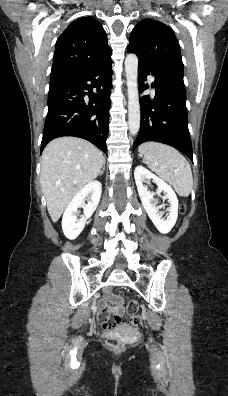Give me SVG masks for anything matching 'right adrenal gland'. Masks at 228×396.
I'll use <instances>...</instances> for the list:
<instances>
[{"instance_id":"right-adrenal-gland-1","label":"right adrenal gland","mask_w":228,"mask_h":396,"mask_svg":"<svg viewBox=\"0 0 228 396\" xmlns=\"http://www.w3.org/2000/svg\"><path fill=\"white\" fill-rule=\"evenodd\" d=\"M104 170H105V164L103 165V168H102V170L100 171L99 175H102L103 172H104Z\"/></svg>"}]
</instances>
